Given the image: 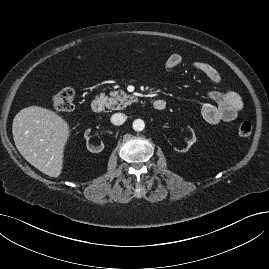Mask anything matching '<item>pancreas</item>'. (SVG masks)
Segmentation results:
<instances>
[{
    "label": "pancreas",
    "mask_w": 269,
    "mask_h": 269,
    "mask_svg": "<svg viewBox=\"0 0 269 269\" xmlns=\"http://www.w3.org/2000/svg\"><path fill=\"white\" fill-rule=\"evenodd\" d=\"M110 98L106 103V107L111 110H121L136 101L134 96H130L123 91L110 92Z\"/></svg>",
    "instance_id": "pancreas-1"
}]
</instances>
